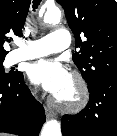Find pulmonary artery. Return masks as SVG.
I'll use <instances>...</instances> for the list:
<instances>
[{"mask_svg": "<svg viewBox=\"0 0 117 136\" xmlns=\"http://www.w3.org/2000/svg\"><path fill=\"white\" fill-rule=\"evenodd\" d=\"M71 34L66 29H56L37 40L20 42L19 48L11 53V62L33 59L65 50L71 44Z\"/></svg>", "mask_w": 117, "mask_h": 136, "instance_id": "obj_1", "label": "pulmonary artery"}]
</instances>
